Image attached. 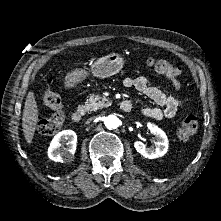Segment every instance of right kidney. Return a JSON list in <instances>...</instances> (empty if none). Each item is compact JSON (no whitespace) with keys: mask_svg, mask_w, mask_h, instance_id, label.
<instances>
[{"mask_svg":"<svg viewBox=\"0 0 221 221\" xmlns=\"http://www.w3.org/2000/svg\"><path fill=\"white\" fill-rule=\"evenodd\" d=\"M67 141V147L62 142ZM77 135L72 130H63L56 134L48 148V157L55 162H72L76 151Z\"/></svg>","mask_w":221,"mask_h":221,"instance_id":"ca27d5eb","label":"right kidney"}]
</instances>
